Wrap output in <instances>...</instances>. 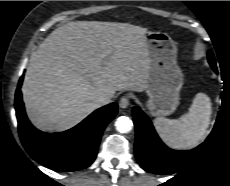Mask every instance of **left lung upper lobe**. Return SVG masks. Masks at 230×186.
Returning a JSON list of instances; mask_svg holds the SVG:
<instances>
[{
	"instance_id": "obj_1",
	"label": "left lung upper lobe",
	"mask_w": 230,
	"mask_h": 186,
	"mask_svg": "<svg viewBox=\"0 0 230 186\" xmlns=\"http://www.w3.org/2000/svg\"><path fill=\"white\" fill-rule=\"evenodd\" d=\"M208 61H209L210 65H211V67L213 68V70L217 71L216 63H215V59H214L212 51L208 52Z\"/></svg>"
}]
</instances>
